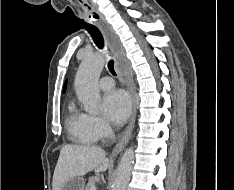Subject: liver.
Segmentation results:
<instances>
[{
  "label": "liver",
  "mask_w": 234,
  "mask_h": 190,
  "mask_svg": "<svg viewBox=\"0 0 234 190\" xmlns=\"http://www.w3.org/2000/svg\"><path fill=\"white\" fill-rule=\"evenodd\" d=\"M109 159L100 147L89 145H64L54 170L52 190H60L70 177L83 176L90 171L104 172Z\"/></svg>",
  "instance_id": "obj_1"
}]
</instances>
